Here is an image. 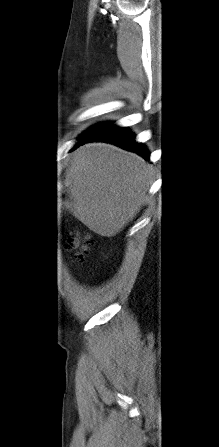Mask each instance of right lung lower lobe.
I'll return each mask as SVG.
<instances>
[{
    "label": "right lung lower lobe",
    "instance_id": "obj_1",
    "mask_svg": "<svg viewBox=\"0 0 219 447\" xmlns=\"http://www.w3.org/2000/svg\"><path fill=\"white\" fill-rule=\"evenodd\" d=\"M134 138L135 136L133 133L127 128L110 124L98 133L81 139L76 147L90 141H106L118 145L126 150L136 152L145 159L149 160L150 154L147 149L142 144L137 143Z\"/></svg>",
    "mask_w": 219,
    "mask_h": 447
}]
</instances>
